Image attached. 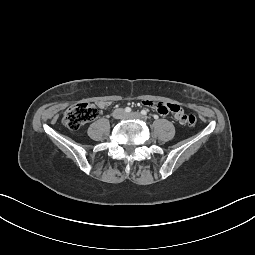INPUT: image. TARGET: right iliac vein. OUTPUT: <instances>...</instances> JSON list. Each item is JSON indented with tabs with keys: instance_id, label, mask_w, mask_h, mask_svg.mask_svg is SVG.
<instances>
[{
	"instance_id": "1",
	"label": "right iliac vein",
	"mask_w": 255,
	"mask_h": 255,
	"mask_svg": "<svg viewBox=\"0 0 255 255\" xmlns=\"http://www.w3.org/2000/svg\"><path fill=\"white\" fill-rule=\"evenodd\" d=\"M112 116L114 119H122L125 116L123 109L119 108L113 111Z\"/></svg>"
}]
</instances>
